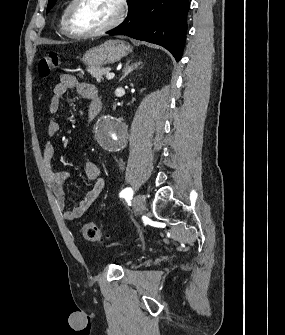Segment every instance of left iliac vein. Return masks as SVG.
Masks as SVG:
<instances>
[{"label": "left iliac vein", "instance_id": "left-iliac-vein-1", "mask_svg": "<svg viewBox=\"0 0 285 335\" xmlns=\"http://www.w3.org/2000/svg\"><path fill=\"white\" fill-rule=\"evenodd\" d=\"M134 213L144 212L146 208V200L142 194H138L133 200Z\"/></svg>", "mask_w": 285, "mask_h": 335}]
</instances>
